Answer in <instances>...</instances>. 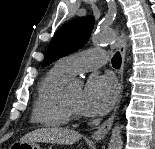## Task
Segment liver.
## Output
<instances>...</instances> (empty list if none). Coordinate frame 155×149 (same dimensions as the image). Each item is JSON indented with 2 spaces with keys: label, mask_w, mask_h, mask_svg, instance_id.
I'll use <instances>...</instances> for the list:
<instances>
[{
  "label": "liver",
  "mask_w": 155,
  "mask_h": 149,
  "mask_svg": "<svg viewBox=\"0 0 155 149\" xmlns=\"http://www.w3.org/2000/svg\"><path fill=\"white\" fill-rule=\"evenodd\" d=\"M81 137V134L74 130L60 127H46L26 134L20 139V141L72 145L73 143L79 141Z\"/></svg>",
  "instance_id": "6515ba94"
}]
</instances>
